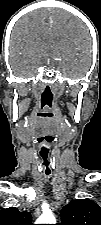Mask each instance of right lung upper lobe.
<instances>
[{"mask_svg":"<svg viewBox=\"0 0 101 225\" xmlns=\"http://www.w3.org/2000/svg\"><path fill=\"white\" fill-rule=\"evenodd\" d=\"M31 220L27 211L20 212L14 207L0 210V225H33Z\"/></svg>","mask_w":101,"mask_h":225,"instance_id":"obj_1","label":"right lung upper lobe"}]
</instances>
